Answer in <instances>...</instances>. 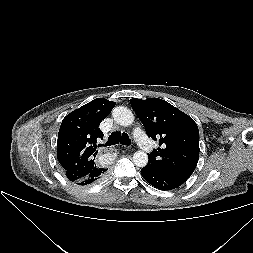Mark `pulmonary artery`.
Segmentation results:
<instances>
[{
	"instance_id": "1",
	"label": "pulmonary artery",
	"mask_w": 253,
	"mask_h": 253,
	"mask_svg": "<svg viewBox=\"0 0 253 253\" xmlns=\"http://www.w3.org/2000/svg\"><path fill=\"white\" fill-rule=\"evenodd\" d=\"M133 135L136 142L143 150L148 151L151 149L152 147L151 141L147 138L146 134L140 127L134 129Z\"/></svg>"
}]
</instances>
